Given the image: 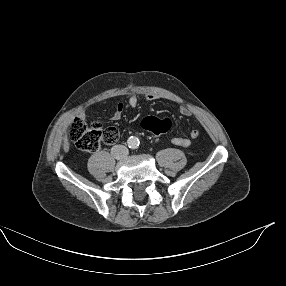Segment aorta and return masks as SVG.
Returning <instances> with one entry per match:
<instances>
[{
	"label": "aorta",
	"mask_w": 286,
	"mask_h": 286,
	"mask_svg": "<svg viewBox=\"0 0 286 286\" xmlns=\"http://www.w3.org/2000/svg\"><path fill=\"white\" fill-rule=\"evenodd\" d=\"M127 143L130 148L135 149L139 146V139L135 136H131L128 138Z\"/></svg>",
	"instance_id": "762f6f07"
}]
</instances>
